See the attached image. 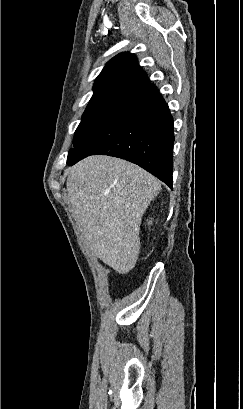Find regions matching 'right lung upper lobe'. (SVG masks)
<instances>
[{
	"label": "right lung upper lobe",
	"instance_id": "right-lung-upper-lobe-1",
	"mask_svg": "<svg viewBox=\"0 0 243 409\" xmlns=\"http://www.w3.org/2000/svg\"><path fill=\"white\" fill-rule=\"evenodd\" d=\"M151 82L135 55L120 53L112 58L95 80L91 101L121 100L135 95Z\"/></svg>",
	"mask_w": 243,
	"mask_h": 409
}]
</instances>
